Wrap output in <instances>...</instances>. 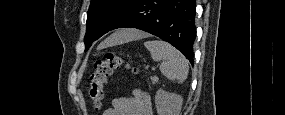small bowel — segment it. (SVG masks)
Here are the masks:
<instances>
[{"mask_svg":"<svg viewBox=\"0 0 285 115\" xmlns=\"http://www.w3.org/2000/svg\"><path fill=\"white\" fill-rule=\"evenodd\" d=\"M152 100L149 93L135 89L130 97H119L112 101V106L104 115H152Z\"/></svg>","mask_w":285,"mask_h":115,"instance_id":"1","label":"small bowel"}]
</instances>
